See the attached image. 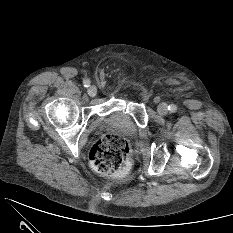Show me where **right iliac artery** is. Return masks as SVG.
<instances>
[{
  "label": "right iliac artery",
  "mask_w": 233,
  "mask_h": 233,
  "mask_svg": "<svg viewBox=\"0 0 233 233\" xmlns=\"http://www.w3.org/2000/svg\"><path fill=\"white\" fill-rule=\"evenodd\" d=\"M84 87H89L90 86V81L88 79L83 81Z\"/></svg>",
  "instance_id": "right-iliac-artery-1"
}]
</instances>
